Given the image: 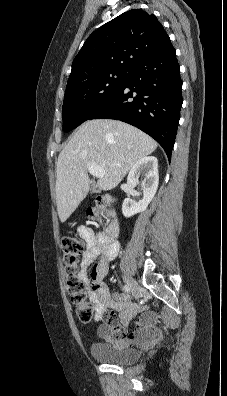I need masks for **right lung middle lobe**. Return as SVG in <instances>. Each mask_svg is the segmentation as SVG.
Wrapping results in <instances>:
<instances>
[{
  "instance_id": "dd1d6c3e",
  "label": "right lung middle lobe",
  "mask_w": 227,
  "mask_h": 396,
  "mask_svg": "<svg viewBox=\"0 0 227 396\" xmlns=\"http://www.w3.org/2000/svg\"><path fill=\"white\" fill-rule=\"evenodd\" d=\"M129 71L106 72L67 87L63 102V130L78 127L125 84Z\"/></svg>"
}]
</instances>
